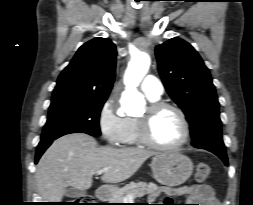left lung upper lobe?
Instances as JSON below:
<instances>
[{"mask_svg":"<svg viewBox=\"0 0 253 205\" xmlns=\"http://www.w3.org/2000/svg\"><path fill=\"white\" fill-rule=\"evenodd\" d=\"M155 51L163 84L190 123L192 146L226 152L215 86L199 54L179 38L156 46Z\"/></svg>","mask_w":253,"mask_h":205,"instance_id":"1","label":"left lung upper lobe"}]
</instances>
